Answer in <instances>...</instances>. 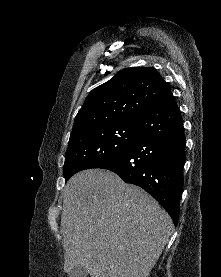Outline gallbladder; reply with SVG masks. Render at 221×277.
<instances>
[{
    "label": "gallbladder",
    "mask_w": 221,
    "mask_h": 277,
    "mask_svg": "<svg viewBox=\"0 0 221 277\" xmlns=\"http://www.w3.org/2000/svg\"><path fill=\"white\" fill-rule=\"evenodd\" d=\"M88 272L82 266H75L69 273L68 277H87Z\"/></svg>",
    "instance_id": "bac80fb5"
}]
</instances>
